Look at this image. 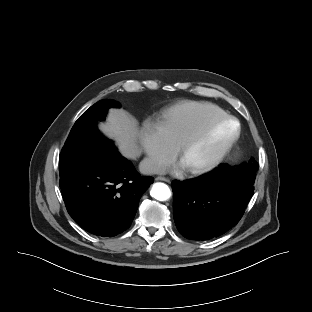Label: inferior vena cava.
Returning a JSON list of instances; mask_svg holds the SVG:
<instances>
[{"instance_id": "obj_1", "label": "inferior vena cava", "mask_w": 312, "mask_h": 312, "mask_svg": "<svg viewBox=\"0 0 312 312\" xmlns=\"http://www.w3.org/2000/svg\"><path fill=\"white\" fill-rule=\"evenodd\" d=\"M139 169L143 174H163L166 166L158 160L145 158L140 162Z\"/></svg>"}]
</instances>
